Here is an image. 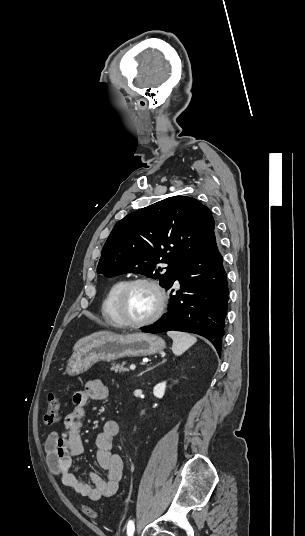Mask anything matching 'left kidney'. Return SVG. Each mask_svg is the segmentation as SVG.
<instances>
[{"mask_svg":"<svg viewBox=\"0 0 305 536\" xmlns=\"http://www.w3.org/2000/svg\"><path fill=\"white\" fill-rule=\"evenodd\" d=\"M166 390V382H161V384H157L155 388H153V394L156 396V398H163Z\"/></svg>","mask_w":305,"mask_h":536,"instance_id":"left-kidney-1","label":"left kidney"}]
</instances>
